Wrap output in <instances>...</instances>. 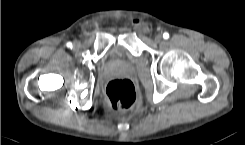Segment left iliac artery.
<instances>
[{
	"instance_id": "obj_1",
	"label": "left iliac artery",
	"mask_w": 245,
	"mask_h": 145,
	"mask_svg": "<svg viewBox=\"0 0 245 145\" xmlns=\"http://www.w3.org/2000/svg\"><path fill=\"white\" fill-rule=\"evenodd\" d=\"M163 38H164V39H168V38H169V34H168L167 32H165V33L163 34Z\"/></svg>"
}]
</instances>
